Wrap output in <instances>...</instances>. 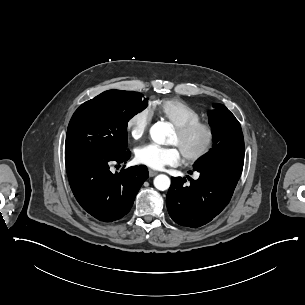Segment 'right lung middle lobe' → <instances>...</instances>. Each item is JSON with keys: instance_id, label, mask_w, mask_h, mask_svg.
<instances>
[{"instance_id": "1", "label": "right lung middle lobe", "mask_w": 305, "mask_h": 305, "mask_svg": "<svg viewBox=\"0 0 305 305\" xmlns=\"http://www.w3.org/2000/svg\"><path fill=\"white\" fill-rule=\"evenodd\" d=\"M133 91L109 90L83 103L67 129L65 155L110 157L127 150V123L147 106L148 99Z\"/></svg>"}]
</instances>
